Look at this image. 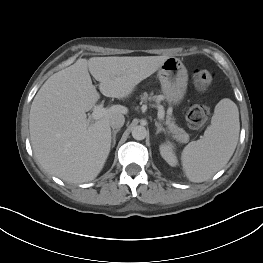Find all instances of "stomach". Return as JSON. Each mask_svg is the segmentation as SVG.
Returning <instances> with one entry per match:
<instances>
[{
  "label": "stomach",
  "instance_id": "1",
  "mask_svg": "<svg viewBox=\"0 0 263 263\" xmlns=\"http://www.w3.org/2000/svg\"><path fill=\"white\" fill-rule=\"evenodd\" d=\"M158 78L166 100L173 105L184 98L188 83V73L184 64L175 57H168L160 66Z\"/></svg>",
  "mask_w": 263,
  "mask_h": 263
}]
</instances>
